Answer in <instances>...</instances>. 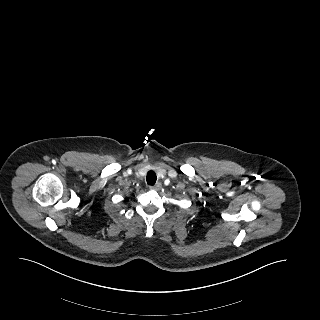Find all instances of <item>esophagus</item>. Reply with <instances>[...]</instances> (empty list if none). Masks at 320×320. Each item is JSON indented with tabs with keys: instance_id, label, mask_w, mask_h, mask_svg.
I'll use <instances>...</instances> for the list:
<instances>
[{
	"instance_id": "34e87169",
	"label": "esophagus",
	"mask_w": 320,
	"mask_h": 320,
	"mask_svg": "<svg viewBox=\"0 0 320 320\" xmlns=\"http://www.w3.org/2000/svg\"><path fill=\"white\" fill-rule=\"evenodd\" d=\"M160 188H161V184L160 183H156L155 185L149 186L150 190H158Z\"/></svg>"
}]
</instances>
